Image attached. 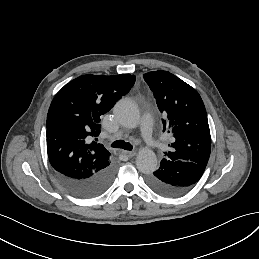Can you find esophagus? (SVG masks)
<instances>
[{"label":"esophagus","mask_w":259,"mask_h":259,"mask_svg":"<svg viewBox=\"0 0 259 259\" xmlns=\"http://www.w3.org/2000/svg\"><path fill=\"white\" fill-rule=\"evenodd\" d=\"M122 154L129 157V158H132L137 154V152L136 151H125L124 150V151H122Z\"/></svg>","instance_id":"1"}]
</instances>
